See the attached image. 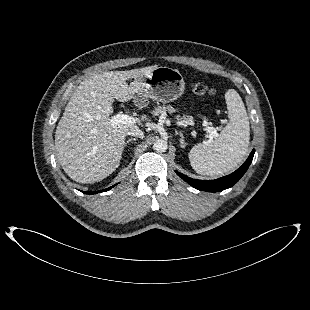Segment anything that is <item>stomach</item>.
<instances>
[{
    "instance_id": "0dacf381",
    "label": "stomach",
    "mask_w": 310,
    "mask_h": 310,
    "mask_svg": "<svg viewBox=\"0 0 310 310\" xmlns=\"http://www.w3.org/2000/svg\"><path fill=\"white\" fill-rule=\"evenodd\" d=\"M149 83L135 94L139 107L147 105L148 99L169 103L179 98L185 89V82L179 70L167 66H157L149 75Z\"/></svg>"
}]
</instances>
